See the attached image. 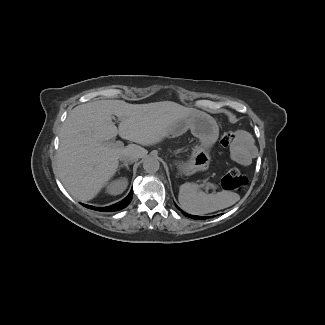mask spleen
I'll list each match as a JSON object with an SVG mask.
<instances>
[{
    "instance_id": "1",
    "label": "spleen",
    "mask_w": 325,
    "mask_h": 325,
    "mask_svg": "<svg viewBox=\"0 0 325 325\" xmlns=\"http://www.w3.org/2000/svg\"><path fill=\"white\" fill-rule=\"evenodd\" d=\"M194 183H184L179 189V203L188 213L203 215L229 207L234 201L227 199L226 192L206 194Z\"/></svg>"
}]
</instances>
